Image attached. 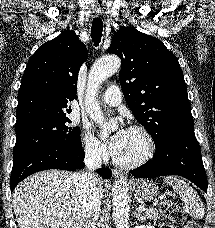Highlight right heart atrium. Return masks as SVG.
<instances>
[{
  "label": "right heart atrium",
  "instance_id": "right-heart-atrium-1",
  "mask_svg": "<svg viewBox=\"0 0 215 228\" xmlns=\"http://www.w3.org/2000/svg\"><path fill=\"white\" fill-rule=\"evenodd\" d=\"M80 143L85 157L92 162H101L108 151L105 144L100 142L88 127H82L79 132Z\"/></svg>",
  "mask_w": 215,
  "mask_h": 228
}]
</instances>
